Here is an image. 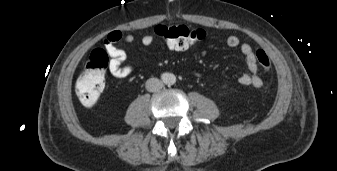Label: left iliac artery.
I'll return each instance as SVG.
<instances>
[{
	"label": "left iliac artery",
	"mask_w": 337,
	"mask_h": 171,
	"mask_svg": "<svg viewBox=\"0 0 337 171\" xmlns=\"http://www.w3.org/2000/svg\"><path fill=\"white\" fill-rule=\"evenodd\" d=\"M171 82H174V79L172 78Z\"/></svg>",
	"instance_id": "44dca946"
}]
</instances>
